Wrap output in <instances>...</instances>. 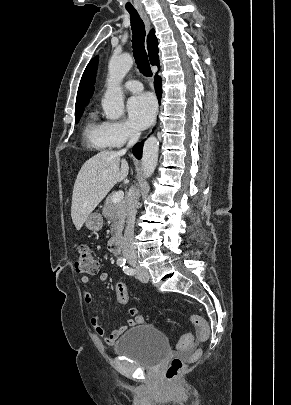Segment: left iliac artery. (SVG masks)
Here are the masks:
<instances>
[{
    "mask_svg": "<svg viewBox=\"0 0 291 405\" xmlns=\"http://www.w3.org/2000/svg\"><path fill=\"white\" fill-rule=\"evenodd\" d=\"M123 271L125 274L130 275V276L135 274V270L132 268H129L128 266H124Z\"/></svg>",
    "mask_w": 291,
    "mask_h": 405,
    "instance_id": "1",
    "label": "left iliac artery"
}]
</instances>
